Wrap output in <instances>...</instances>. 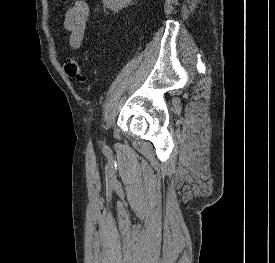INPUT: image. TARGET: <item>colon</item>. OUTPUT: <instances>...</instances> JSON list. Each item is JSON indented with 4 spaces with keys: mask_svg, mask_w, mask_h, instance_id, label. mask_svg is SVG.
<instances>
[{
    "mask_svg": "<svg viewBox=\"0 0 275 263\" xmlns=\"http://www.w3.org/2000/svg\"><path fill=\"white\" fill-rule=\"evenodd\" d=\"M62 5H64L67 0H59ZM64 71L66 75L75 80L78 83H84L86 78L83 74L82 68L80 66L79 60L76 57H68L64 61Z\"/></svg>",
    "mask_w": 275,
    "mask_h": 263,
    "instance_id": "colon-1",
    "label": "colon"
}]
</instances>
